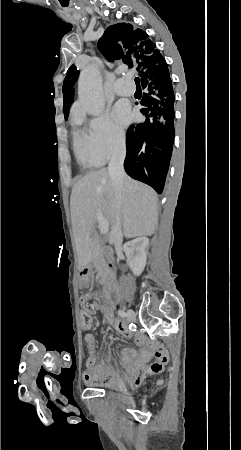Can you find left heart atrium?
Returning <instances> with one entry per match:
<instances>
[{
	"mask_svg": "<svg viewBox=\"0 0 241 450\" xmlns=\"http://www.w3.org/2000/svg\"><path fill=\"white\" fill-rule=\"evenodd\" d=\"M113 118L121 126H126L130 121V112L127 106L117 103L113 109Z\"/></svg>",
	"mask_w": 241,
	"mask_h": 450,
	"instance_id": "1",
	"label": "left heart atrium"
}]
</instances>
